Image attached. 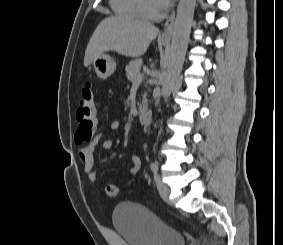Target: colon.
<instances>
[{"mask_svg": "<svg viewBox=\"0 0 283 245\" xmlns=\"http://www.w3.org/2000/svg\"><path fill=\"white\" fill-rule=\"evenodd\" d=\"M78 127L75 133L76 143L82 144L92 139L96 125V110L94 102L93 85L90 82L84 84L81 90L80 104L76 112ZM106 193L110 197L119 195L118 187L111 183L106 187Z\"/></svg>", "mask_w": 283, "mask_h": 245, "instance_id": "obj_1", "label": "colon"}]
</instances>
